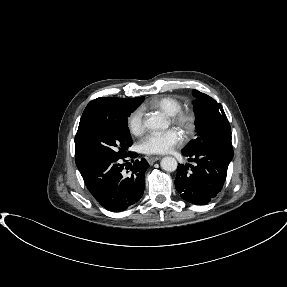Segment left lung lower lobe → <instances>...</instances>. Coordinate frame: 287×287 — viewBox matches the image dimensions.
Instances as JSON below:
<instances>
[{
    "mask_svg": "<svg viewBox=\"0 0 287 287\" xmlns=\"http://www.w3.org/2000/svg\"><path fill=\"white\" fill-rule=\"evenodd\" d=\"M195 165H178L175 187L181 197L196 205L209 203L221 191L233 158L231 141L185 154ZM190 167V168H189Z\"/></svg>",
    "mask_w": 287,
    "mask_h": 287,
    "instance_id": "obj_1",
    "label": "left lung lower lobe"
}]
</instances>
